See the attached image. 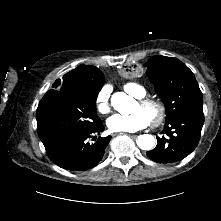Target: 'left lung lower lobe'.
<instances>
[{"instance_id":"1","label":"left lung lower lobe","mask_w":221,"mask_h":221,"mask_svg":"<svg viewBox=\"0 0 221 221\" xmlns=\"http://www.w3.org/2000/svg\"><path fill=\"white\" fill-rule=\"evenodd\" d=\"M203 124L204 114L202 108H196L166 122L161 133L163 136L156 137L157 146L146 153L148 158L157 163H173L184 159L196 148ZM171 144L175 145L176 151L172 156L165 158L162 149Z\"/></svg>"}]
</instances>
